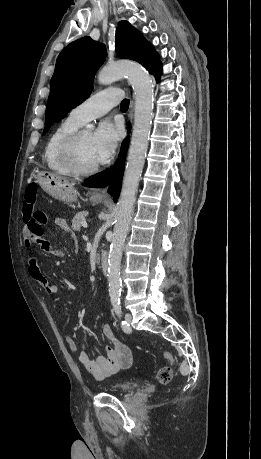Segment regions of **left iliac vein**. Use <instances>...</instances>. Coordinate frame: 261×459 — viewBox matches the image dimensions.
<instances>
[{"label":"left iliac vein","instance_id":"4c4485c4","mask_svg":"<svg viewBox=\"0 0 261 459\" xmlns=\"http://www.w3.org/2000/svg\"><path fill=\"white\" fill-rule=\"evenodd\" d=\"M125 319H126V321L130 324L131 321H132V315H131L130 313H127V314L125 315Z\"/></svg>","mask_w":261,"mask_h":459}]
</instances>
